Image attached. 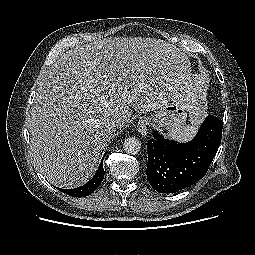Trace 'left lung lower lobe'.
<instances>
[{
	"mask_svg": "<svg viewBox=\"0 0 255 255\" xmlns=\"http://www.w3.org/2000/svg\"><path fill=\"white\" fill-rule=\"evenodd\" d=\"M222 127V120L209 115L195 138L185 144L153 132L146 170L151 186L161 193H175L203 178L220 146Z\"/></svg>",
	"mask_w": 255,
	"mask_h": 255,
	"instance_id": "left-lung-lower-lobe-1",
	"label": "left lung lower lobe"
}]
</instances>
